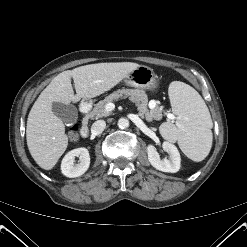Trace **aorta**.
<instances>
[{
  "label": "aorta",
  "instance_id": "1",
  "mask_svg": "<svg viewBox=\"0 0 247 247\" xmlns=\"http://www.w3.org/2000/svg\"><path fill=\"white\" fill-rule=\"evenodd\" d=\"M118 126L121 129H125V128L129 127V120L126 118H120L118 120Z\"/></svg>",
  "mask_w": 247,
  "mask_h": 247
}]
</instances>
